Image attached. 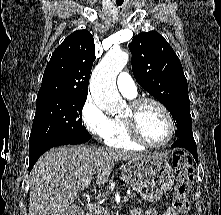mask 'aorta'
<instances>
[{
    "label": "aorta",
    "mask_w": 221,
    "mask_h": 215,
    "mask_svg": "<svg viewBox=\"0 0 221 215\" xmlns=\"http://www.w3.org/2000/svg\"><path fill=\"white\" fill-rule=\"evenodd\" d=\"M129 60L126 52L110 50L95 67L90 81V92L100 109L109 115L122 111L124 102L116 87V77Z\"/></svg>",
    "instance_id": "obj_1"
}]
</instances>
